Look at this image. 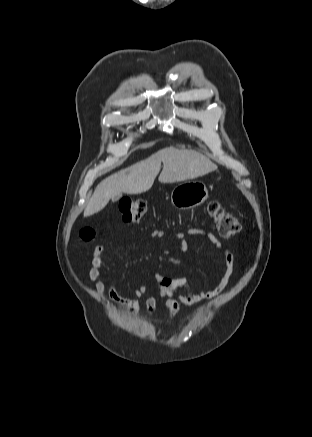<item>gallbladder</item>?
<instances>
[{"mask_svg": "<svg viewBox=\"0 0 312 437\" xmlns=\"http://www.w3.org/2000/svg\"><path fill=\"white\" fill-rule=\"evenodd\" d=\"M120 198H121V195H120V196H117V197H115V198H114V200H115V201H117V200H119Z\"/></svg>", "mask_w": 312, "mask_h": 437, "instance_id": "1", "label": "gallbladder"}]
</instances>
